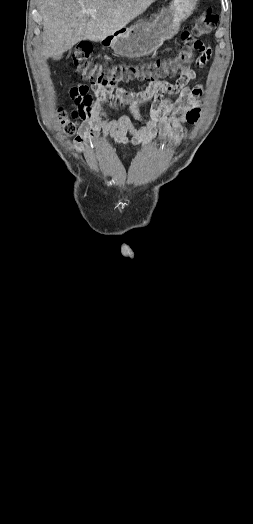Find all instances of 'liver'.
<instances>
[{
    "mask_svg": "<svg viewBox=\"0 0 253 524\" xmlns=\"http://www.w3.org/2000/svg\"><path fill=\"white\" fill-rule=\"evenodd\" d=\"M156 0H39L45 59L81 40L100 41L124 28Z\"/></svg>",
    "mask_w": 253,
    "mask_h": 524,
    "instance_id": "1",
    "label": "liver"
}]
</instances>
